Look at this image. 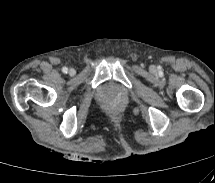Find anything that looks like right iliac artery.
<instances>
[{
	"label": "right iliac artery",
	"instance_id": "obj_1",
	"mask_svg": "<svg viewBox=\"0 0 215 183\" xmlns=\"http://www.w3.org/2000/svg\"><path fill=\"white\" fill-rule=\"evenodd\" d=\"M62 71H63V73H67V72H68V68L63 67V68H62Z\"/></svg>",
	"mask_w": 215,
	"mask_h": 183
}]
</instances>
